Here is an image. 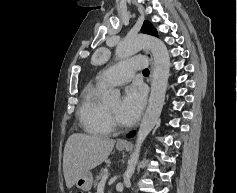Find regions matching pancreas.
Returning a JSON list of instances; mask_svg holds the SVG:
<instances>
[{
  "mask_svg": "<svg viewBox=\"0 0 237 193\" xmlns=\"http://www.w3.org/2000/svg\"><path fill=\"white\" fill-rule=\"evenodd\" d=\"M107 172L106 169H101L98 176H96L95 182H94V186H97L100 182V180L102 179V177L104 176V174Z\"/></svg>",
  "mask_w": 237,
  "mask_h": 193,
  "instance_id": "pancreas-1",
  "label": "pancreas"
}]
</instances>
